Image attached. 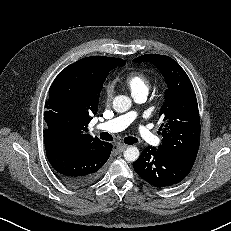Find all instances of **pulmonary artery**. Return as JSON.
Segmentation results:
<instances>
[{
	"mask_svg": "<svg viewBox=\"0 0 231 231\" xmlns=\"http://www.w3.org/2000/svg\"><path fill=\"white\" fill-rule=\"evenodd\" d=\"M133 99L138 104L144 103L147 99V93L137 94L133 96ZM136 117V111H130L107 122L98 124L96 128L108 132H119L127 128L136 119ZM138 134L141 139L149 144L156 145L159 143V138L150 128L144 125L138 127Z\"/></svg>",
	"mask_w": 231,
	"mask_h": 231,
	"instance_id": "1",
	"label": "pulmonary artery"
}]
</instances>
